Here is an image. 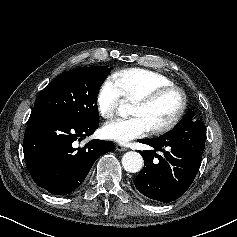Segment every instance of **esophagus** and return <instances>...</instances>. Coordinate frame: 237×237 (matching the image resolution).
I'll list each match as a JSON object with an SVG mask.
<instances>
[{
	"mask_svg": "<svg viewBox=\"0 0 237 237\" xmlns=\"http://www.w3.org/2000/svg\"><path fill=\"white\" fill-rule=\"evenodd\" d=\"M116 149L121 152L127 151V148L120 144L117 145Z\"/></svg>",
	"mask_w": 237,
	"mask_h": 237,
	"instance_id": "34e87169",
	"label": "esophagus"
}]
</instances>
